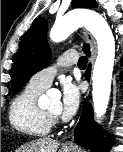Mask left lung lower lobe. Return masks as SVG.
Listing matches in <instances>:
<instances>
[{
  "label": "left lung lower lobe",
  "instance_id": "0a47b994",
  "mask_svg": "<svg viewBox=\"0 0 123 152\" xmlns=\"http://www.w3.org/2000/svg\"><path fill=\"white\" fill-rule=\"evenodd\" d=\"M87 56L90 55L88 46L84 47ZM90 66L87 69L86 78L89 80ZM101 128L93 120V110L87 102L84 103V109L80 121L75 128V141L83 147L90 148L94 152H108L111 144L109 138L103 137Z\"/></svg>",
  "mask_w": 123,
  "mask_h": 152
}]
</instances>
